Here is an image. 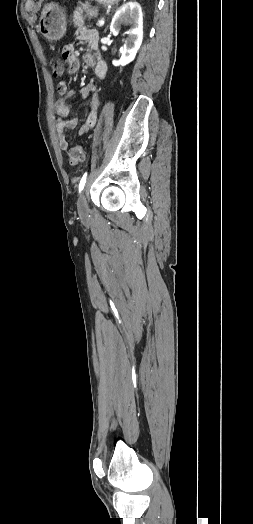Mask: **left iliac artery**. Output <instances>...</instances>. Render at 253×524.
<instances>
[{"instance_id":"44dca946","label":"left iliac artery","mask_w":253,"mask_h":524,"mask_svg":"<svg viewBox=\"0 0 253 524\" xmlns=\"http://www.w3.org/2000/svg\"><path fill=\"white\" fill-rule=\"evenodd\" d=\"M86 179H87V173H85L83 175V177L81 178L80 180V184H79V192H81L85 186V183H86Z\"/></svg>"}]
</instances>
